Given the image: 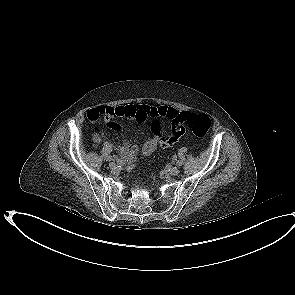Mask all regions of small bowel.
I'll list each match as a JSON object with an SVG mask.
<instances>
[{"instance_id":"small-bowel-1","label":"small bowel","mask_w":295,"mask_h":295,"mask_svg":"<svg viewBox=\"0 0 295 295\" xmlns=\"http://www.w3.org/2000/svg\"><path fill=\"white\" fill-rule=\"evenodd\" d=\"M151 108V109H150ZM187 112H179L172 107L161 106L151 107L145 104H128L116 107L94 108L87 112V118L90 121L104 120V125L113 131H119L122 123L117 118H127L137 121H148V127L153 134L151 139L157 142V148H169L173 146L180 138L177 118L180 114ZM140 115L142 117H140ZM97 118V119H96ZM163 120L170 122V129L166 135L162 133ZM100 137L96 138L99 142ZM119 160L122 163L130 164L138 153V148L134 145L125 143L118 148Z\"/></svg>"}]
</instances>
